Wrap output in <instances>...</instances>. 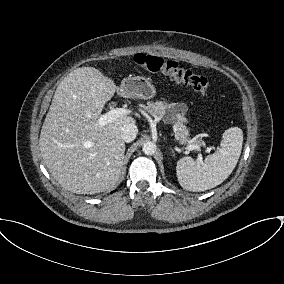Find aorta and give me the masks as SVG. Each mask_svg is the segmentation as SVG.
<instances>
[{"label": "aorta", "instance_id": "1", "mask_svg": "<svg viewBox=\"0 0 284 284\" xmlns=\"http://www.w3.org/2000/svg\"><path fill=\"white\" fill-rule=\"evenodd\" d=\"M157 146L154 142L148 141L144 143L142 151L146 155H153L156 152Z\"/></svg>", "mask_w": 284, "mask_h": 284}]
</instances>
